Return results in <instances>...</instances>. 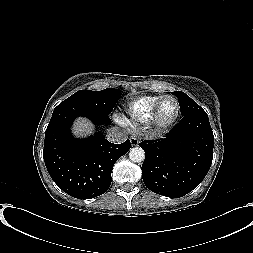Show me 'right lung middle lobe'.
I'll return each mask as SVG.
<instances>
[{
	"label": "right lung middle lobe",
	"mask_w": 253,
	"mask_h": 253,
	"mask_svg": "<svg viewBox=\"0 0 253 253\" xmlns=\"http://www.w3.org/2000/svg\"><path fill=\"white\" fill-rule=\"evenodd\" d=\"M121 96V90L108 88L102 91L80 90L59 105L84 106L95 112L109 115Z\"/></svg>",
	"instance_id": "obj_1"
}]
</instances>
